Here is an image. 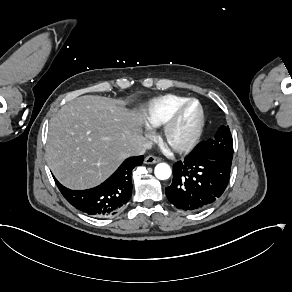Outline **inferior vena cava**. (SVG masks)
Segmentation results:
<instances>
[{
  "label": "inferior vena cava",
  "mask_w": 292,
  "mask_h": 292,
  "mask_svg": "<svg viewBox=\"0 0 292 292\" xmlns=\"http://www.w3.org/2000/svg\"><path fill=\"white\" fill-rule=\"evenodd\" d=\"M152 147L151 142L144 141L140 147L133 149L128 156H139L144 154L145 150L150 149Z\"/></svg>",
  "instance_id": "obj_1"
}]
</instances>
